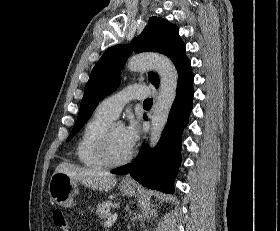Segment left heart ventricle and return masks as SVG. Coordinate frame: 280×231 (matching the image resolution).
Wrapping results in <instances>:
<instances>
[{
    "label": "left heart ventricle",
    "instance_id": "left-heart-ventricle-1",
    "mask_svg": "<svg viewBox=\"0 0 280 231\" xmlns=\"http://www.w3.org/2000/svg\"><path fill=\"white\" fill-rule=\"evenodd\" d=\"M122 126L114 123L109 136L110 154L114 159H121L128 154L121 144L120 134Z\"/></svg>",
    "mask_w": 280,
    "mask_h": 231
}]
</instances>
